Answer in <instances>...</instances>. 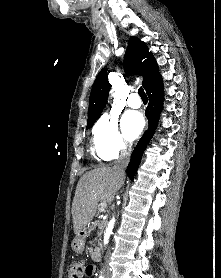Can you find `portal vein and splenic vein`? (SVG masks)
<instances>
[{
  "label": "portal vein and splenic vein",
  "mask_w": 221,
  "mask_h": 278,
  "mask_svg": "<svg viewBox=\"0 0 221 278\" xmlns=\"http://www.w3.org/2000/svg\"><path fill=\"white\" fill-rule=\"evenodd\" d=\"M99 206H100L99 211L104 212L106 207H107V203L106 202H101Z\"/></svg>",
  "instance_id": "portal-vein-and-splenic-vein-1"
}]
</instances>
